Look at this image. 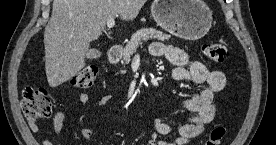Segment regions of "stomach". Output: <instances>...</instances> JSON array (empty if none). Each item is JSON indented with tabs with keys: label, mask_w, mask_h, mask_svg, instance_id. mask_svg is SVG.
Wrapping results in <instances>:
<instances>
[{
	"label": "stomach",
	"mask_w": 276,
	"mask_h": 145,
	"mask_svg": "<svg viewBox=\"0 0 276 145\" xmlns=\"http://www.w3.org/2000/svg\"><path fill=\"white\" fill-rule=\"evenodd\" d=\"M151 15L162 29L185 40L204 37L212 25V12L203 0H155Z\"/></svg>",
	"instance_id": "0dacf381"
}]
</instances>
